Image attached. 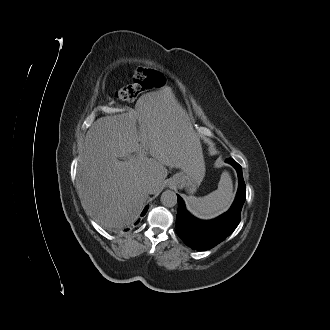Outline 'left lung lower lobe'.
<instances>
[{
    "mask_svg": "<svg viewBox=\"0 0 330 330\" xmlns=\"http://www.w3.org/2000/svg\"><path fill=\"white\" fill-rule=\"evenodd\" d=\"M233 165L238 173L239 188L236 198L228 212L209 221L198 220L185 209L182 198L178 197V212L176 218V232L184 243L196 250H208L228 237L240 222L243 196L246 186L242 175V167L232 158L226 160Z\"/></svg>",
    "mask_w": 330,
    "mask_h": 330,
    "instance_id": "left-lung-lower-lobe-1",
    "label": "left lung lower lobe"
}]
</instances>
